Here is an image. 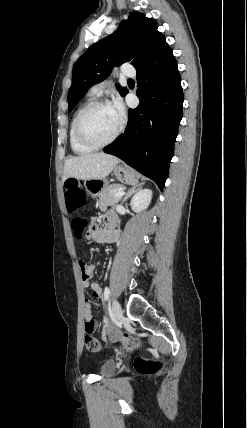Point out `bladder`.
<instances>
[{
  "label": "bladder",
  "instance_id": "31cf9c89",
  "mask_svg": "<svg viewBox=\"0 0 247 428\" xmlns=\"http://www.w3.org/2000/svg\"><path fill=\"white\" fill-rule=\"evenodd\" d=\"M115 368V362L111 359L107 360L102 364L100 374L103 377H109L114 373Z\"/></svg>",
  "mask_w": 247,
  "mask_h": 428
}]
</instances>
